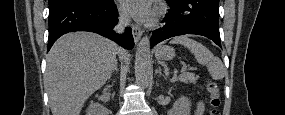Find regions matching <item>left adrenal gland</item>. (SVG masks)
Listing matches in <instances>:
<instances>
[{"label":"left adrenal gland","mask_w":285,"mask_h":115,"mask_svg":"<svg viewBox=\"0 0 285 115\" xmlns=\"http://www.w3.org/2000/svg\"><path fill=\"white\" fill-rule=\"evenodd\" d=\"M156 73L162 74V70H161L160 66H158V69L156 70Z\"/></svg>","instance_id":"1"}]
</instances>
